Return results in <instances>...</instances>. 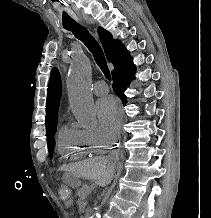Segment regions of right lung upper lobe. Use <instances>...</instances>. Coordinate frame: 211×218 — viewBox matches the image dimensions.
<instances>
[{"mask_svg": "<svg viewBox=\"0 0 211 218\" xmlns=\"http://www.w3.org/2000/svg\"><path fill=\"white\" fill-rule=\"evenodd\" d=\"M99 39L104 48L106 58L115 66L121 61L129 58L128 51L118 41L114 40L112 35L99 27ZM62 87L59 72L56 68L51 71L48 96H47V115L46 132L47 136L54 130L57 124L58 107L61 97Z\"/></svg>", "mask_w": 211, "mask_h": 218, "instance_id": "cb5924a9", "label": "right lung upper lobe"}]
</instances>
